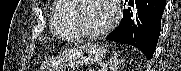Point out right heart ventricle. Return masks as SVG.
Here are the masks:
<instances>
[{
  "label": "right heart ventricle",
  "mask_w": 181,
  "mask_h": 71,
  "mask_svg": "<svg viewBox=\"0 0 181 71\" xmlns=\"http://www.w3.org/2000/svg\"><path fill=\"white\" fill-rule=\"evenodd\" d=\"M71 3L66 0L54 1L50 14V27L52 32L62 38H78L71 24Z\"/></svg>",
  "instance_id": "1"
}]
</instances>
